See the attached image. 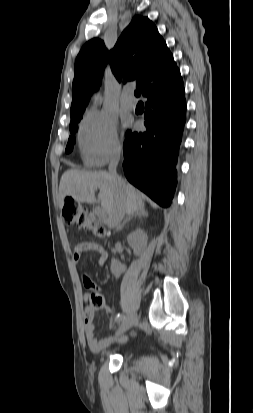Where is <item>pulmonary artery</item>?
I'll use <instances>...</instances> for the list:
<instances>
[{
	"label": "pulmonary artery",
	"mask_w": 253,
	"mask_h": 413,
	"mask_svg": "<svg viewBox=\"0 0 253 413\" xmlns=\"http://www.w3.org/2000/svg\"><path fill=\"white\" fill-rule=\"evenodd\" d=\"M121 104L127 109H134L136 107V100L132 95L131 89H125L121 96Z\"/></svg>",
	"instance_id": "pulmonary-artery-1"
}]
</instances>
